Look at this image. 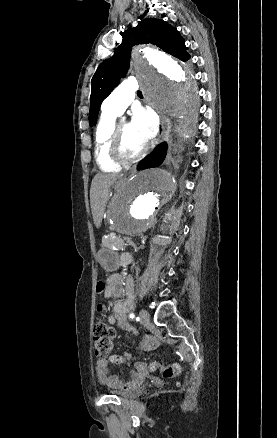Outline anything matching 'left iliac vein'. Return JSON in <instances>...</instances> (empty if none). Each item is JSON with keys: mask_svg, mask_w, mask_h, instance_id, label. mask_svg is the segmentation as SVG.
Wrapping results in <instances>:
<instances>
[{"mask_svg": "<svg viewBox=\"0 0 277 438\" xmlns=\"http://www.w3.org/2000/svg\"><path fill=\"white\" fill-rule=\"evenodd\" d=\"M139 316H140V320H141V322H142L143 324H147V323L150 321V315H149V313H148L146 310H144V309H142V310L140 311Z\"/></svg>", "mask_w": 277, "mask_h": 438, "instance_id": "obj_1", "label": "left iliac vein"}]
</instances>
